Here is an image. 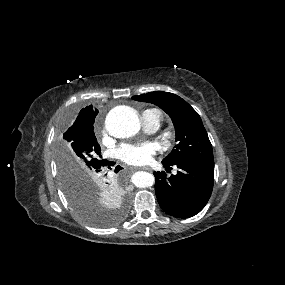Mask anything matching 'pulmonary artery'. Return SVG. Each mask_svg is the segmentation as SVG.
Returning a JSON list of instances; mask_svg holds the SVG:
<instances>
[{"instance_id": "pulmonary-artery-1", "label": "pulmonary artery", "mask_w": 285, "mask_h": 285, "mask_svg": "<svg viewBox=\"0 0 285 285\" xmlns=\"http://www.w3.org/2000/svg\"><path fill=\"white\" fill-rule=\"evenodd\" d=\"M162 115L157 110H146L142 114V123L147 132L157 131L161 125Z\"/></svg>"}]
</instances>
